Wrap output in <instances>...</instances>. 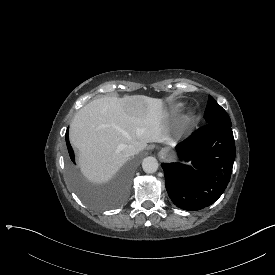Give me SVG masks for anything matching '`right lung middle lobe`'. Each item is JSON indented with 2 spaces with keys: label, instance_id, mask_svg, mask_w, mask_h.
Here are the masks:
<instances>
[{
  "label": "right lung middle lobe",
  "instance_id": "right-lung-middle-lobe-1",
  "mask_svg": "<svg viewBox=\"0 0 275 275\" xmlns=\"http://www.w3.org/2000/svg\"><path fill=\"white\" fill-rule=\"evenodd\" d=\"M63 153L65 176L70 181L76 194L85 202L86 207L93 211L100 208L111 209L124 203L127 199L126 192L130 189V182L134 179L140 165L139 161L145 160L149 155L148 150L145 148L133 152L129 164L123 163L113 171V176L116 178L115 184L108 189H103L101 185L94 182L88 173L81 171L76 166L72 144L68 138V130L66 132V142L63 144Z\"/></svg>",
  "mask_w": 275,
  "mask_h": 275
}]
</instances>
